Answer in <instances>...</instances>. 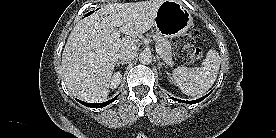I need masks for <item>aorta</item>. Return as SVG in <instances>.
<instances>
[{"label":"aorta","mask_w":276,"mask_h":138,"mask_svg":"<svg viewBox=\"0 0 276 138\" xmlns=\"http://www.w3.org/2000/svg\"><path fill=\"white\" fill-rule=\"evenodd\" d=\"M139 61L142 64H149L152 61V54L150 51H143L139 55Z\"/></svg>","instance_id":"aorta-1"}]
</instances>
